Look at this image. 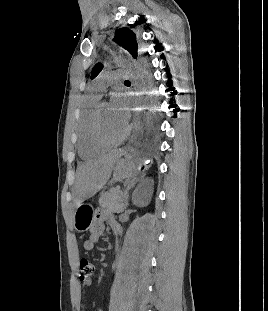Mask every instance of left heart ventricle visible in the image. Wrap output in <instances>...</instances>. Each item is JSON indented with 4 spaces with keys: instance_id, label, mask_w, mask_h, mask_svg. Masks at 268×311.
I'll return each instance as SVG.
<instances>
[{
    "instance_id": "left-heart-ventricle-1",
    "label": "left heart ventricle",
    "mask_w": 268,
    "mask_h": 311,
    "mask_svg": "<svg viewBox=\"0 0 268 311\" xmlns=\"http://www.w3.org/2000/svg\"><path fill=\"white\" fill-rule=\"evenodd\" d=\"M126 125L118 118L110 104L105 103L103 105L100 126L102 134L107 139L119 138L123 134Z\"/></svg>"
}]
</instances>
